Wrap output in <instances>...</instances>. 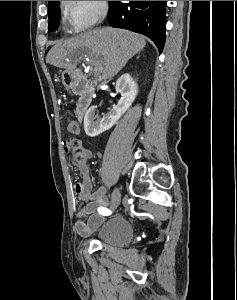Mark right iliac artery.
Masks as SVG:
<instances>
[{"mask_svg": "<svg viewBox=\"0 0 237 300\" xmlns=\"http://www.w3.org/2000/svg\"><path fill=\"white\" fill-rule=\"evenodd\" d=\"M98 212L102 215L106 214L107 212H111L109 209L105 208V207H99L98 208Z\"/></svg>", "mask_w": 237, "mask_h": 300, "instance_id": "right-iliac-artery-1", "label": "right iliac artery"}]
</instances>
